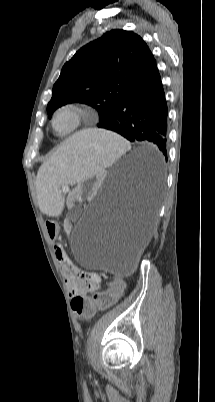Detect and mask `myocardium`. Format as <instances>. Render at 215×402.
I'll return each mask as SVG.
<instances>
[{
  "label": "myocardium",
  "instance_id": "f54148a6",
  "mask_svg": "<svg viewBox=\"0 0 215 402\" xmlns=\"http://www.w3.org/2000/svg\"><path fill=\"white\" fill-rule=\"evenodd\" d=\"M62 115L70 116L72 121L68 129L64 131H58L56 128V121ZM88 115V110L85 107L75 103H67L58 107L53 112L50 119V126L54 134H56L57 136L67 137L74 134L83 127L88 118Z\"/></svg>",
  "mask_w": 215,
  "mask_h": 402
}]
</instances>
